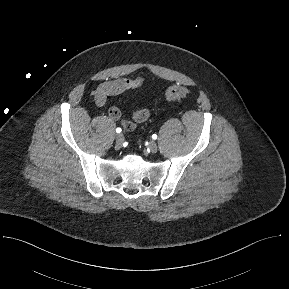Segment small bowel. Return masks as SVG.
Instances as JSON below:
<instances>
[{
  "label": "small bowel",
  "mask_w": 289,
  "mask_h": 289,
  "mask_svg": "<svg viewBox=\"0 0 289 289\" xmlns=\"http://www.w3.org/2000/svg\"><path fill=\"white\" fill-rule=\"evenodd\" d=\"M145 82V78L142 76L135 78H119L103 82L94 92L95 104L99 107H103L109 97L120 95L128 90L137 89L143 86ZM108 116L115 121H120L122 127L126 131H133L139 124L145 122L149 118L150 111L148 108L135 106L132 111L131 119H124L121 116L120 110L113 106L109 108Z\"/></svg>",
  "instance_id": "c3829d8e"
}]
</instances>
